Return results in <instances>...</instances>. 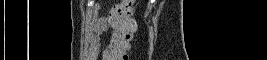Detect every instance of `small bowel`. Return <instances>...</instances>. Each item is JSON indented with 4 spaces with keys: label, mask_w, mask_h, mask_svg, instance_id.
<instances>
[{
    "label": "small bowel",
    "mask_w": 267,
    "mask_h": 60,
    "mask_svg": "<svg viewBox=\"0 0 267 60\" xmlns=\"http://www.w3.org/2000/svg\"><path fill=\"white\" fill-rule=\"evenodd\" d=\"M109 23H111V22L110 21H107V20H102V21L98 22L96 24V27H95V30H94L95 32L94 33L96 35H99L105 29V27ZM93 48H94L95 51H99V49H100V43H94L93 44Z\"/></svg>",
    "instance_id": "obj_1"
}]
</instances>
